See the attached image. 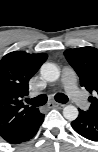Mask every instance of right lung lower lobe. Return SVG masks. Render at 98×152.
<instances>
[{
    "instance_id": "obj_1",
    "label": "right lung lower lobe",
    "mask_w": 98,
    "mask_h": 152,
    "mask_svg": "<svg viewBox=\"0 0 98 152\" xmlns=\"http://www.w3.org/2000/svg\"><path fill=\"white\" fill-rule=\"evenodd\" d=\"M43 120L44 114L40 113L38 110L18 127L7 134L1 135V138L11 144H19L28 141L37 133Z\"/></svg>"
}]
</instances>
